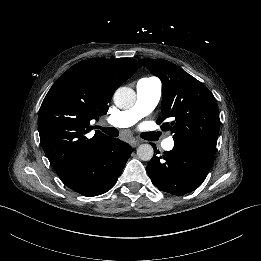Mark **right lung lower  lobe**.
Masks as SVG:
<instances>
[{
  "mask_svg": "<svg viewBox=\"0 0 261 261\" xmlns=\"http://www.w3.org/2000/svg\"><path fill=\"white\" fill-rule=\"evenodd\" d=\"M131 152L127 143L108 137L93 154L62 173L60 179L84 196L103 194L115 185Z\"/></svg>",
  "mask_w": 261,
  "mask_h": 261,
  "instance_id": "right-lung-lower-lobe-1",
  "label": "right lung lower lobe"
}]
</instances>
